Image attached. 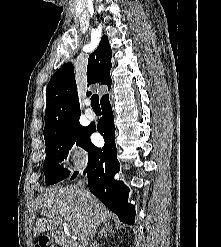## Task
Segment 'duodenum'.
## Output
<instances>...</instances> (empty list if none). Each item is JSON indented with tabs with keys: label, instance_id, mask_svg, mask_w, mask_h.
I'll use <instances>...</instances> for the list:
<instances>
[{
	"label": "duodenum",
	"instance_id": "1",
	"mask_svg": "<svg viewBox=\"0 0 221 247\" xmlns=\"http://www.w3.org/2000/svg\"><path fill=\"white\" fill-rule=\"evenodd\" d=\"M52 237L60 247H77L76 244L72 241H69L62 233L53 232Z\"/></svg>",
	"mask_w": 221,
	"mask_h": 247
}]
</instances>
